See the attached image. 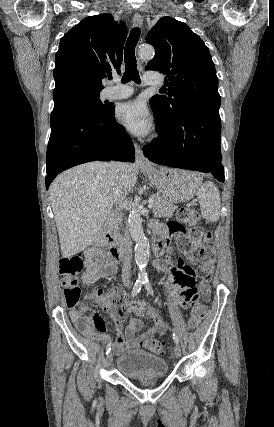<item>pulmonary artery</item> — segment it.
<instances>
[{"label": "pulmonary artery", "instance_id": "pulmonary-artery-1", "mask_svg": "<svg viewBox=\"0 0 274 427\" xmlns=\"http://www.w3.org/2000/svg\"><path fill=\"white\" fill-rule=\"evenodd\" d=\"M158 82L153 76L147 77L145 83L153 85ZM133 94V89L127 85L116 83L105 89V98L107 100H119L130 97Z\"/></svg>", "mask_w": 274, "mask_h": 427}]
</instances>
